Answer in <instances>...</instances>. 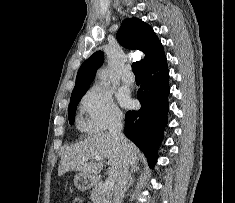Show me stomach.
<instances>
[{"label": "stomach", "instance_id": "0dacf381", "mask_svg": "<svg viewBox=\"0 0 235 203\" xmlns=\"http://www.w3.org/2000/svg\"><path fill=\"white\" fill-rule=\"evenodd\" d=\"M97 183V179L86 173H78L74 176V185L80 191H86Z\"/></svg>", "mask_w": 235, "mask_h": 203}]
</instances>
